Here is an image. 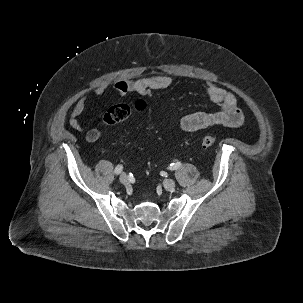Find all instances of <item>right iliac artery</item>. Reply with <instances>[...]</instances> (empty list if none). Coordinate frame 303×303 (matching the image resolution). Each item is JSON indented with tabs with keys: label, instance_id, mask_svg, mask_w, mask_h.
<instances>
[{
	"label": "right iliac artery",
	"instance_id": "obj_1",
	"mask_svg": "<svg viewBox=\"0 0 303 303\" xmlns=\"http://www.w3.org/2000/svg\"><path fill=\"white\" fill-rule=\"evenodd\" d=\"M123 170V166L122 165H118V166H116V168H115V174H120L121 173V171Z\"/></svg>",
	"mask_w": 303,
	"mask_h": 303
}]
</instances>
